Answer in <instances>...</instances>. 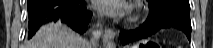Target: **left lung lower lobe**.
I'll return each instance as SVG.
<instances>
[{
  "mask_svg": "<svg viewBox=\"0 0 213 48\" xmlns=\"http://www.w3.org/2000/svg\"><path fill=\"white\" fill-rule=\"evenodd\" d=\"M162 28L182 30L190 40L192 30L190 10L172 4H164L157 8L149 7V16L145 23L138 29L122 31L120 41L126 45L135 40L149 37Z\"/></svg>",
  "mask_w": 213,
  "mask_h": 48,
  "instance_id": "obj_1",
  "label": "left lung lower lobe"
}]
</instances>
